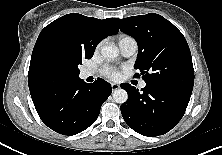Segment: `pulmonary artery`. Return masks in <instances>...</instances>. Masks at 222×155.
<instances>
[{
    "label": "pulmonary artery",
    "mask_w": 222,
    "mask_h": 155,
    "mask_svg": "<svg viewBox=\"0 0 222 155\" xmlns=\"http://www.w3.org/2000/svg\"><path fill=\"white\" fill-rule=\"evenodd\" d=\"M119 48L121 50V53L126 56H132L133 54H135V52L138 49L137 43L134 39L130 38V39H125L119 42ZM92 73L88 70H84L82 71V76L84 78L90 76ZM146 86L145 82H141L140 87L144 88Z\"/></svg>",
    "instance_id": "e3ab8cb5"
}]
</instances>
